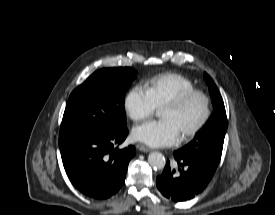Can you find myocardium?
Listing matches in <instances>:
<instances>
[{
  "mask_svg": "<svg viewBox=\"0 0 275 215\" xmlns=\"http://www.w3.org/2000/svg\"><path fill=\"white\" fill-rule=\"evenodd\" d=\"M199 96L204 100L205 104V111L201 118V120L189 131H187L183 136L182 140H189L193 137H195L208 123L210 120L211 114H212V104L211 99L208 96V94L202 90L199 89H193L186 92L181 93L180 95L176 96L175 98L169 100L166 102L162 108L164 107H170L174 109H179L183 107L189 100L192 98Z\"/></svg>",
  "mask_w": 275,
  "mask_h": 215,
  "instance_id": "myocardium-1",
  "label": "myocardium"
}]
</instances>
